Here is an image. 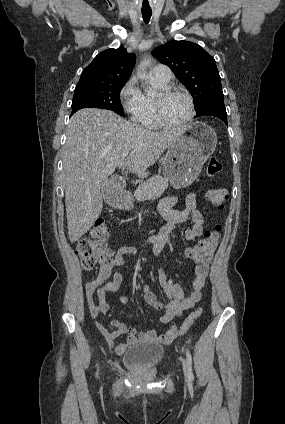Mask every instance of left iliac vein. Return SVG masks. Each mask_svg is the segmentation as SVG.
Instances as JSON below:
<instances>
[{
  "mask_svg": "<svg viewBox=\"0 0 285 424\" xmlns=\"http://www.w3.org/2000/svg\"><path fill=\"white\" fill-rule=\"evenodd\" d=\"M182 364H183V371H184L185 380H186V382H188V368H187V363L184 359H182Z\"/></svg>",
  "mask_w": 285,
  "mask_h": 424,
  "instance_id": "obj_1",
  "label": "left iliac vein"
}]
</instances>
